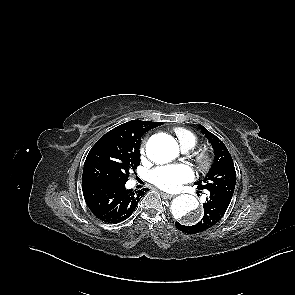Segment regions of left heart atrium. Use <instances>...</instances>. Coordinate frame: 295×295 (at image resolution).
<instances>
[{
  "label": "left heart atrium",
  "mask_w": 295,
  "mask_h": 295,
  "mask_svg": "<svg viewBox=\"0 0 295 295\" xmlns=\"http://www.w3.org/2000/svg\"><path fill=\"white\" fill-rule=\"evenodd\" d=\"M194 178V172L187 164L161 166L150 174L151 182L157 187L174 192Z\"/></svg>",
  "instance_id": "obj_1"
}]
</instances>
